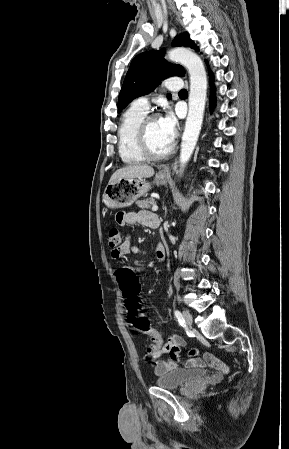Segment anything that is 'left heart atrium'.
Here are the masks:
<instances>
[{"instance_id": "39dd6f15", "label": "left heart atrium", "mask_w": 289, "mask_h": 449, "mask_svg": "<svg viewBox=\"0 0 289 449\" xmlns=\"http://www.w3.org/2000/svg\"><path fill=\"white\" fill-rule=\"evenodd\" d=\"M161 125L169 135V137L174 140L177 131V120L171 112H167L161 119Z\"/></svg>"}]
</instances>
